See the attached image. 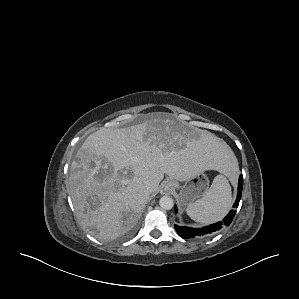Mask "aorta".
<instances>
[{
	"label": "aorta",
	"instance_id": "obj_1",
	"mask_svg": "<svg viewBox=\"0 0 299 299\" xmlns=\"http://www.w3.org/2000/svg\"><path fill=\"white\" fill-rule=\"evenodd\" d=\"M159 205L164 210H170L174 206L173 199L170 196H163L159 200Z\"/></svg>",
	"mask_w": 299,
	"mask_h": 299
}]
</instances>
